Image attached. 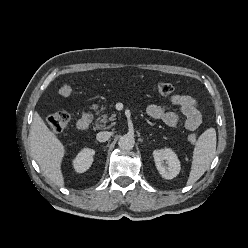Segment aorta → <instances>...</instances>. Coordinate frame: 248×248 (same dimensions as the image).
Segmentation results:
<instances>
[{
  "label": "aorta",
  "mask_w": 248,
  "mask_h": 248,
  "mask_svg": "<svg viewBox=\"0 0 248 248\" xmlns=\"http://www.w3.org/2000/svg\"><path fill=\"white\" fill-rule=\"evenodd\" d=\"M135 144L134 137L132 135H123L118 141V146L121 150H132Z\"/></svg>",
  "instance_id": "1"
}]
</instances>
